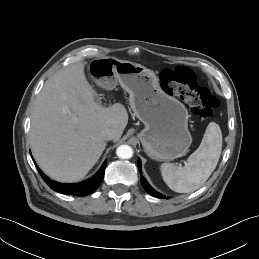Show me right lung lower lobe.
I'll list each match as a JSON object with an SVG mask.
<instances>
[{"instance_id":"right-lung-lower-lobe-1","label":"right lung lower lobe","mask_w":259,"mask_h":259,"mask_svg":"<svg viewBox=\"0 0 259 259\" xmlns=\"http://www.w3.org/2000/svg\"><path fill=\"white\" fill-rule=\"evenodd\" d=\"M39 174L46 182V184L54 191L59 192L61 194L66 195H74V196H85L92 194L101 184L106 168V161L103 163L100 170L90 179L73 184H63L56 181L51 180L48 176H46L35 164Z\"/></svg>"}]
</instances>
